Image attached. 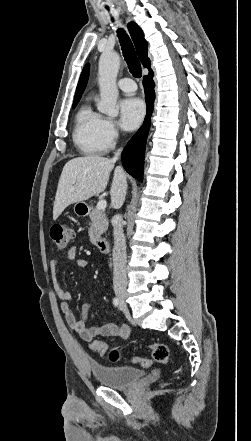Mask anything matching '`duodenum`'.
I'll list each match as a JSON object with an SVG mask.
<instances>
[{
  "mask_svg": "<svg viewBox=\"0 0 251 441\" xmlns=\"http://www.w3.org/2000/svg\"><path fill=\"white\" fill-rule=\"evenodd\" d=\"M87 212H88V210L85 208V209H83L81 214L85 215V214H87ZM97 246H98V249L102 253H107L110 249V242L107 238L102 237L97 241Z\"/></svg>",
  "mask_w": 251,
  "mask_h": 441,
  "instance_id": "1",
  "label": "duodenum"
}]
</instances>
